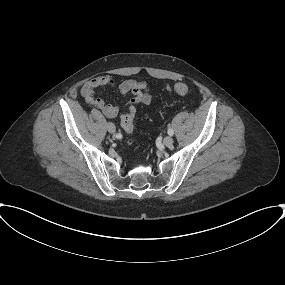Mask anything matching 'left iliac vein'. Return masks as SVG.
Masks as SVG:
<instances>
[{
    "label": "left iliac vein",
    "mask_w": 285,
    "mask_h": 285,
    "mask_svg": "<svg viewBox=\"0 0 285 285\" xmlns=\"http://www.w3.org/2000/svg\"><path fill=\"white\" fill-rule=\"evenodd\" d=\"M164 145L171 146L173 143V138L171 136H166L163 141Z\"/></svg>",
    "instance_id": "left-iliac-vein-1"
}]
</instances>
